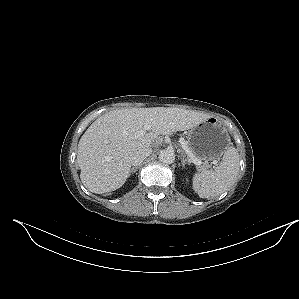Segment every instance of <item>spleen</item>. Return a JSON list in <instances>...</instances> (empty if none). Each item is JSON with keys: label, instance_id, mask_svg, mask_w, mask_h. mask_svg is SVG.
Segmentation results:
<instances>
[{"label": "spleen", "instance_id": "1", "mask_svg": "<svg viewBox=\"0 0 299 299\" xmlns=\"http://www.w3.org/2000/svg\"><path fill=\"white\" fill-rule=\"evenodd\" d=\"M239 155L230 146L216 170H203L193 176V189L201 198H213L228 190L237 179Z\"/></svg>", "mask_w": 299, "mask_h": 299}]
</instances>
